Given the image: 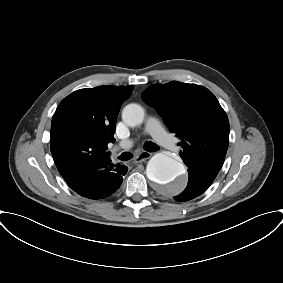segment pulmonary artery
I'll list each match as a JSON object with an SVG mask.
<instances>
[{"instance_id":"pulmonary-artery-1","label":"pulmonary artery","mask_w":283,"mask_h":283,"mask_svg":"<svg viewBox=\"0 0 283 283\" xmlns=\"http://www.w3.org/2000/svg\"><path fill=\"white\" fill-rule=\"evenodd\" d=\"M145 131L149 133L162 147L171 151H177L179 149L177 142L167 134L162 123L157 117H149L145 126ZM133 144V139H127L120 143V148H130Z\"/></svg>"}]
</instances>
